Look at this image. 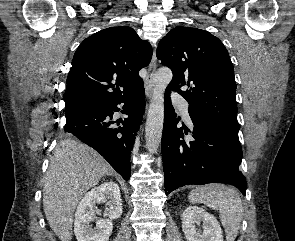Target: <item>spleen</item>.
I'll use <instances>...</instances> for the list:
<instances>
[{"instance_id": "spleen-1", "label": "spleen", "mask_w": 295, "mask_h": 241, "mask_svg": "<svg viewBox=\"0 0 295 241\" xmlns=\"http://www.w3.org/2000/svg\"><path fill=\"white\" fill-rule=\"evenodd\" d=\"M188 198L190 203H203L218 210L227 241L235 240L243 216L242 201L235 189L223 184H208L193 189Z\"/></svg>"}]
</instances>
